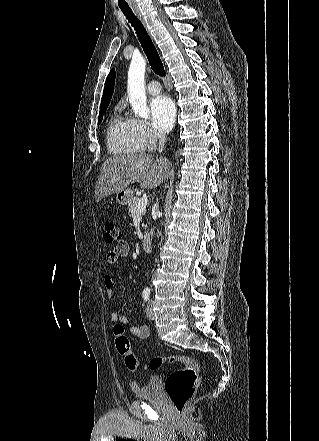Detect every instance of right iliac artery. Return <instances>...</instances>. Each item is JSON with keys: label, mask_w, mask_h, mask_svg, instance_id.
I'll use <instances>...</instances> for the list:
<instances>
[{"label": "right iliac artery", "mask_w": 319, "mask_h": 441, "mask_svg": "<svg viewBox=\"0 0 319 441\" xmlns=\"http://www.w3.org/2000/svg\"><path fill=\"white\" fill-rule=\"evenodd\" d=\"M149 296H150V290L149 289H144L143 293H142V297H143L144 301H148L149 300Z\"/></svg>", "instance_id": "1"}]
</instances>
